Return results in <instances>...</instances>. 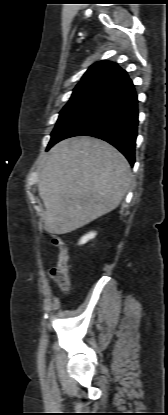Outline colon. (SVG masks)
<instances>
[{
    "instance_id": "1",
    "label": "colon",
    "mask_w": 168,
    "mask_h": 415,
    "mask_svg": "<svg viewBox=\"0 0 168 415\" xmlns=\"http://www.w3.org/2000/svg\"><path fill=\"white\" fill-rule=\"evenodd\" d=\"M52 242L58 251V261L56 266L50 270L49 274L58 288L62 291H66L70 286L67 249L63 239L58 235H53Z\"/></svg>"
}]
</instances>
